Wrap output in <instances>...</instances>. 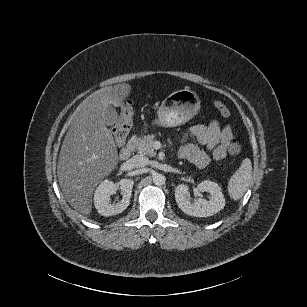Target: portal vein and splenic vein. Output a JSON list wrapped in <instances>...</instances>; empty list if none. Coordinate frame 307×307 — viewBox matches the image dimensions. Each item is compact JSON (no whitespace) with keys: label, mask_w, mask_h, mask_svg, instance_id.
I'll return each instance as SVG.
<instances>
[{"label":"portal vein and splenic vein","mask_w":307,"mask_h":307,"mask_svg":"<svg viewBox=\"0 0 307 307\" xmlns=\"http://www.w3.org/2000/svg\"><path fill=\"white\" fill-rule=\"evenodd\" d=\"M155 144L160 145V142H159V141H156Z\"/></svg>","instance_id":"portal-vein-and-splenic-vein-1"}]
</instances>
